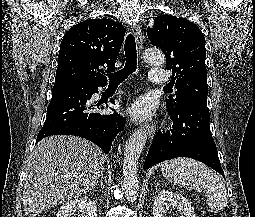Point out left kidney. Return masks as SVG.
I'll list each match as a JSON object with an SVG mask.
<instances>
[{
	"mask_svg": "<svg viewBox=\"0 0 255 217\" xmlns=\"http://www.w3.org/2000/svg\"><path fill=\"white\" fill-rule=\"evenodd\" d=\"M177 208L182 217H195L194 208L190 202L181 194L171 190H162L155 198L153 204V217H167L170 209Z\"/></svg>",
	"mask_w": 255,
	"mask_h": 217,
	"instance_id": "1",
	"label": "left kidney"
}]
</instances>
